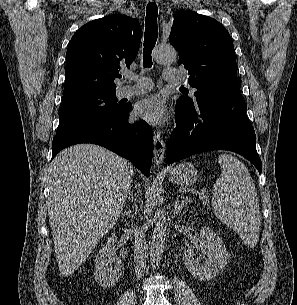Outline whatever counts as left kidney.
<instances>
[{
  "label": "left kidney",
  "mask_w": 297,
  "mask_h": 305,
  "mask_svg": "<svg viewBox=\"0 0 297 305\" xmlns=\"http://www.w3.org/2000/svg\"><path fill=\"white\" fill-rule=\"evenodd\" d=\"M202 243L188 247L184 251L183 260L188 271L200 281L214 278L229 262V254L223 241L209 227L200 230ZM195 249L205 250L203 263L195 258Z\"/></svg>",
  "instance_id": "1"
}]
</instances>
